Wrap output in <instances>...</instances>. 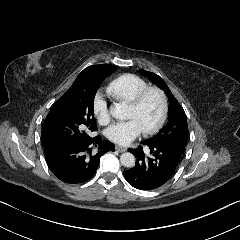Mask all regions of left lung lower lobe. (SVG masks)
Here are the masks:
<instances>
[{
	"instance_id": "1",
	"label": "left lung lower lobe",
	"mask_w": 240,
	"mask_h": 240,
	"mask_svg": "<svg viewBox=\"0 0 240 240\" xmlns=\"http://www.w3.org/2000/svg\"><path fill=\"white\" fill-rule=\"evenodd\" d=\"M150 150L146 156L143 147L128 149L136 157L135 166L123 172L128 183L136 189L153 190L164 185L174 174L183 150L169 145L142 143Z\"/></svg>"
}]
</instances>
